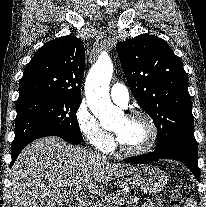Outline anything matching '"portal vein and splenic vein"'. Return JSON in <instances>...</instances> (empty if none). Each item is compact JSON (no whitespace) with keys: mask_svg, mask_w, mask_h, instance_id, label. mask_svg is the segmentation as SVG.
<instances>
[{"mask_svg":"<svg viewBox=\"0 0 206 207\" xmlns=\"http://www.w3.org/2000/svg\"><path fill=\"white\" fill-rule=\"evenodd\" d=\"M80 189H81V187L78 186L74 190L67 191V192H65V196H67V197L70 196V197H74V198L79 199L81 197V194H79Z\"/></svg>","mask_w":206,"mask_h":207,"instance_id":"1","label":"portal vein and splenic vein"}]
</instances>
